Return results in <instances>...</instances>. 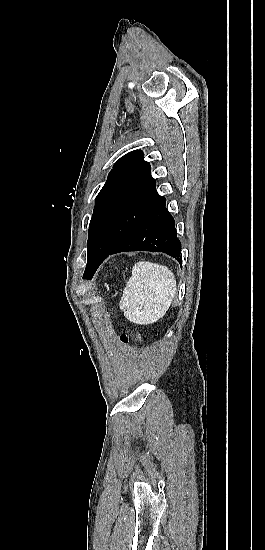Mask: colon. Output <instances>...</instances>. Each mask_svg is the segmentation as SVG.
<instances>
[{"mask_svg":"<svg viewBox=\"0 0 265 550\" xmlns=\"http://www.w3.org/2000/svg\"><path fill=\"white\" fill-rule=\"evenodd\" d=\"M120 340L123 344H129L132 341V338L127 333H122L120 335Z\"/></svg>","mask_w":265,"mask_h":550,"instance_id":"1","label":"colon"}]
</instances>
